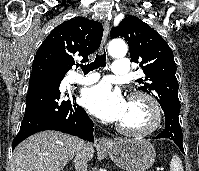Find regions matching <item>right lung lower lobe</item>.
<instances>
[{"label": "right lung lower lobe", "mask_w": 199, "mask_h": 171, "mask_svg": "<svg viewBox=\"0 0 199 171\" xmlns=\"http://www.w3.org/2000/svg\"><path fill=\"white\" fill-rule=\"evenodd\" d=\"M61 81L50 76L31 77L26 109L20 131L14 138L12 150L32 134L57 130L93 141V122L86 111L76 104L75 97L60 99Z\"/></svg>", "instance_id": "98d812e1"}]
</instances>
